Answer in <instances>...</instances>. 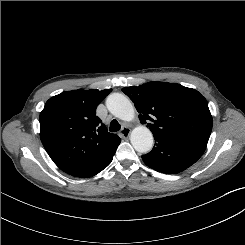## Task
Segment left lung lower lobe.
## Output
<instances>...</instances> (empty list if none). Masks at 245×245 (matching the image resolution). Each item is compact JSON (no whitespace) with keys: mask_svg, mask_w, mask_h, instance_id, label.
Here are the masks:
<instances>
[{"mask_svg":"<svg viewBox=\"0 0 245 245\" xmlns=\"http://www.w3.org/2000/svg\"><path fill=\"white\" fill-rule=\"evenodd\" d=\"M152 151L142 156L144 163L154 170L173 174L193 165L204 153V149L168 138L154 137Z\"/></svg>","mask_w":245,"mask_h":245,"instance_id":"1","label":"left lung lower lobe"}]
</instances>
